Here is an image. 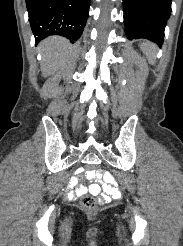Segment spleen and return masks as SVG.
I'll use <instances>...</instances> for the list:
<instances>
[{"label": "spleen", "instance_id": "3e777b00", "mask_svg": "<svg viewBox=\"0 0 183 246\" xmlns=\"http://www.w3.org/2000/svg\"><path fill=\"white\" fill-rule=\"evenodd\" d=\"M142 51L146 54L148 60L150 62L155 61L157 47L153 43H150L148 41H145L141 44Z\"/></svg>", "mask_w": 183, "mask_h": 246}]
</instances>
